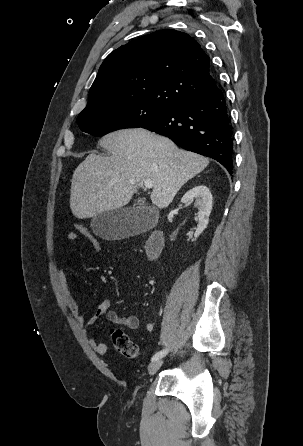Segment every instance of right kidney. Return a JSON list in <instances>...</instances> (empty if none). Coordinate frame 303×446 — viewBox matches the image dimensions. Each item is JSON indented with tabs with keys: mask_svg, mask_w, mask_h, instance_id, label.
I'll use <instances>...</instances> for the list:
<instances>
[{
	"mask_svg": "<svg viewBox=\"0 0 303 446\" xmlns=\"http://www.w3.org/2000/svg\"><path fill=\"white\" fill-rule=\"evenodd\" d=\"M193 200H195L194 204L198 208V225L192 241L206 229L209 222V215L212 210V195L209 188L204 185L195 186L185 193L181 202L187 204Z\"/></svg>",
	"mask_w": 303,
	"mask_h": 446,
	"instance_id": "obj_1",
	"label": "right kidney"
}]
</instances>
